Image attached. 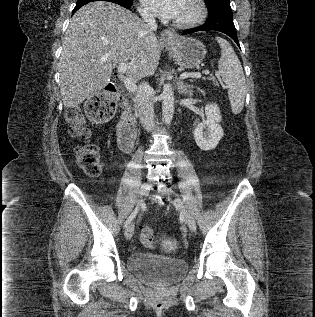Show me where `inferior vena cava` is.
I'll return each instance as SVG.
<instances>
[{
    "label": "inferior vena cava",
    "instance_id": "obj_1",
    "mask_svg": "<svg viewBox=\"0 0 315 317\" xmlns=\"http://www.w3.org/2000/svg\"><path fill=\"white\" fill-rule=\"evenodd\" d=\"M141 16L149 31L157 30L154 16L149 12H142ZM136 105L142 126L150 131L154 127V105L152 100V88L147 82H142L137 90Z\"/></svg>",
    "mask_w": 315,
    "mask_h": 317
}]
</instances>
